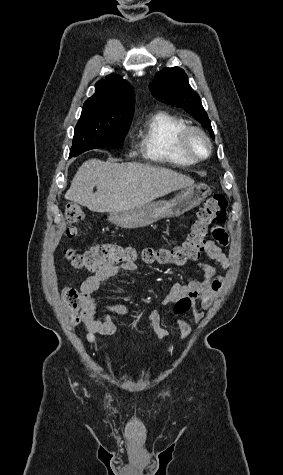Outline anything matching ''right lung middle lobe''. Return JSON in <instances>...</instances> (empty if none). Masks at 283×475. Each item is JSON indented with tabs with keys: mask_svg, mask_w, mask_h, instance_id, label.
<instances>
[{
	"mask_svg": "<svg viewBox=\"0 0 283 475\" xmlns=\"http://www.w3.org/2000/svg\"><path fill=\"white\" fill-rule=\"evenodd\" d=\"M133 113L134 105H84L69 156L95 148H122Z\"/></svg>",
	"mask_w": 283,
	"mask_h": 475,
	"instance_id": "right-lung-middle-lobe-1",
	"label": "right lung middle lobe"
}]
</instances>
